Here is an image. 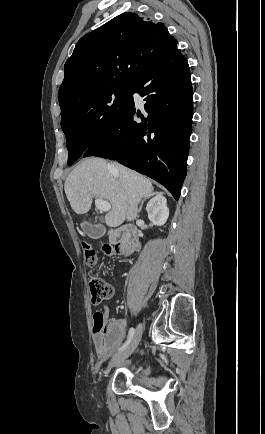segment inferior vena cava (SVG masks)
<instances>
[{"label":"inferior vena cava","mask_w":265,"mask_h":434,"mask_svg":"<svg viewBox=\"0 0 265 434\" xmlns=\"http://www.w3.org/2000/svg\"><path fill=\"white\" fill-rule=\"evenodd\" d=\"M137 212H138L137 204H129L127 208V216H126L128 222H132V220H135V218H137Z\"/></svg>","instance_id":"1"}]
</instances>
